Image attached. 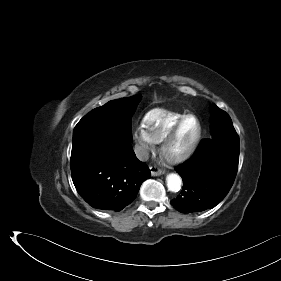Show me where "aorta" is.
<instances>
[{
    "instance_id": "1",
    "label": "aorta",
    "mask_w": 281,
    "mask_h": 281,
    "mask_svg": "<svg viewBox=\"0 0 281 281\" xmlns=\"http://www.w3.org/2000/svg\"><path fill=\"white\" fill-rule=\"evenodd\" d=\"M167 187L171 192H178L181 188V177L177 174L171 173L166 177Z\"/></svg>"
}]
</instances>
